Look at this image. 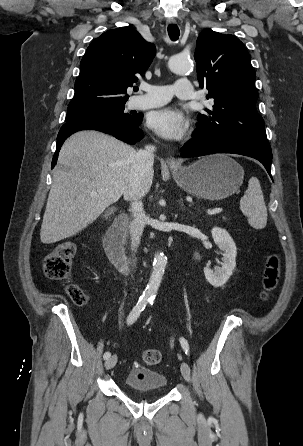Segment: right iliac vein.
<instances>
[{"mask_svg":"<svg viewBox=\"0 0 303 446\" xmlns=\"http://www.w3.org/2000/svg\"><path fill=\"white\" fill-rule=\"evenodd\" d=\"M117 363V356L113 355L107 361L105 362V368L106 370L112 369Z\"/></svg>","mask_w":303,"mask_h":446,"instance_id":"63e3f726","label":"right iliac vein"}]
</instances>
